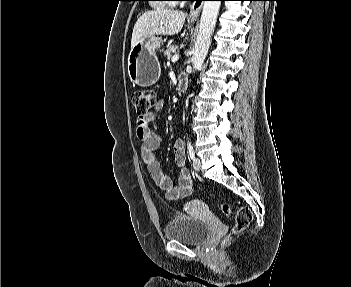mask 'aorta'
Segmentation results:
<instances>
[{
	"label": "aorta",
	"mask_w": 351,
	"mask_h": 287,
	"mask_svg": "<svg viewBox=\"0 0 351 287\" xmlns=\"http://www.w3.org/2000/svg\"><path fill=\"white\" fill-rule=\"evenodd\" d=\"M221 1H205L200 19L199 33L192 57L193 70L201 68L211 44V36L217 20Z\"/></svg>",
	"instance_id": "1"
}]
</instances>
